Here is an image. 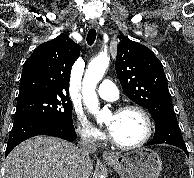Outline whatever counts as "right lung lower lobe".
<instances>
[{
  "mask_svg": "<svg viewBox=\"0 0 194 178\" xmlns=\"http://www.w3.org/2000/svg\"><path fill=\"white\" fill-rule=\"evenodd\" d=\"M37 135H50L74 141L76 133L73 122L58 123L49 119L29 117L14 120L5 156L22 141Z\"/></svg>",
  "mask_w": 194,
  "mask_h": 178,
  "instance_id": "obj_1",
  "label": "right lung lower lobe"
}]
</instances>
